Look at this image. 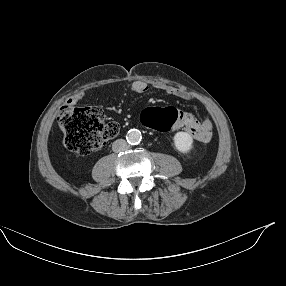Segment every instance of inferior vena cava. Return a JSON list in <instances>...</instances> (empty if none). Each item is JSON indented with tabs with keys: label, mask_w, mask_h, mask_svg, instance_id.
<instances>
[{
	"label": "inferior vena cava",
	"mask_w": 286,
	"mask_h": 286,
	"mask_svg": "<svg viewBox=\"0 0 286 286\" xmlns=\"http://www.w3.org/2000/svg\"><path fill=\"white\" fill-rule=\"evenodd\" d=\"M127 148H128V145L124 139H117L112 144V149L114 152L124 151V150H127Z\"/></svg>",
	"instance_id": "602c4592"
}]
</instances>
